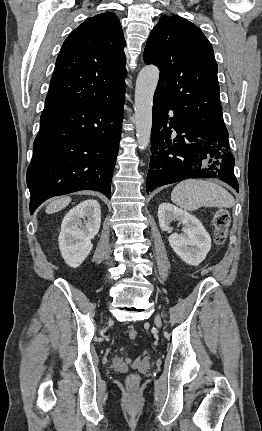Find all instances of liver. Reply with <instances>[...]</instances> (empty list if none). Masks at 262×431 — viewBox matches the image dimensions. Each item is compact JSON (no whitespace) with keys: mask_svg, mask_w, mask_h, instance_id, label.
Returning <instances> with one entry per match:
<instances>
[{"mask_svg":"<svg viewBox=\"0 0 262 431\" xmlns=\"http://www.w3.org/2000/svg\"><path fill=\"white\" fill-rule=\"evenodd\" d=\"M71 202L70 197H61L53 200L47 207L46 213L52 214L65 208Z\"/></svg>","mask_w":262,"mask_h":431,"instance_id":"1","label":"liver"}]
</instances>
